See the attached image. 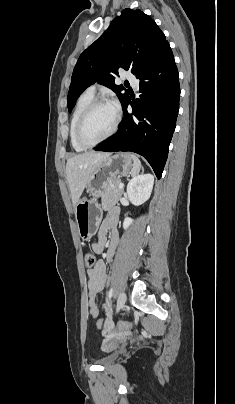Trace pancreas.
Masks as SVG:
<instances>
[{"mask_svg":"<svg viewBox=\"0 0 235 404\" xmlns=\"http://www.w3.org/2000/svg\"><path fill=\"white\" fill-rule=\"evenodd\" d=\"M121 183L120 179H115L108 182L103 189L102 192V206L103 208H107L108 206L115 204L120 199L123 189H119V184Z\"/></svg>","mask_w":235,"mask_h":404,"instance_id":"pancreas-1","label":"pancreas"}]
</instances>
